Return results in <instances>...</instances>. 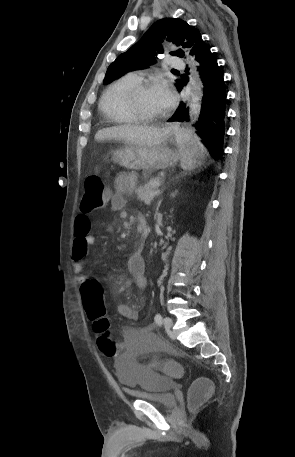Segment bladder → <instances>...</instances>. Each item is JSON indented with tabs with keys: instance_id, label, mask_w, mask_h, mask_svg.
I'll list each match as a JSON object with an SVG mask.
<instances>
[{
	"instance_id": "31cf9c89",
	"label": "bladder",
	"mask_w": 295,
	"mask_h": 457,
	"mask_svg": "<svg viewBox=\"0 0 295 457\" xmlns=\"http://www.w3.org/2000/svg\"><path fill=\"white\" fill-rule=\"evenodd\" d=\"M124 350L122 358L114 364V372L119 383L132 396L173 410L177 405V398L170 388L171 381L176 378H164V374L151 373L148 366H142L143 358L138 355L140 350H149L154 354H167L165 357L168 360H174L176 355L171 353V345H161L160 342H141L139 346L126 345Z\"/></svg>"
}]
</instances>
